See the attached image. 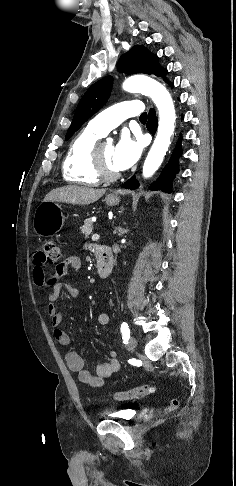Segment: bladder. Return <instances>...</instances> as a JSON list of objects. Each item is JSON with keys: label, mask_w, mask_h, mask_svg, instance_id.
I'll list each match as a JSON object with an SVG mask.
<instances>
[{"label": "bladder", "mask_w": 236, "mask_h": 486, "mask_svg": "<svg viewBox=\"0 0 236 486\" xmlns=\"http://www.w3.org/2000/svg\"><path fill=\"white\" fill-rule=\"evenodd\" d=\"M108 416L111 419H114V420L127 422V421L132 420L135 415H134L133 411H131V410H121V411H118V412L108 414Z\"/></svg>", "instance_id": "bladder-1"}]
</instances>
